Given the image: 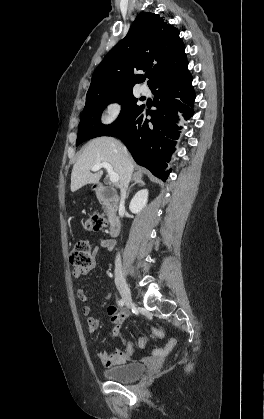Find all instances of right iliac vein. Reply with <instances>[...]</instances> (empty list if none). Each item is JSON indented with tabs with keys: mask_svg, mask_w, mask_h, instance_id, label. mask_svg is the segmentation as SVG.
I'll list each match as a JSON object with an SVG mask.
<instances>
[{
	"mask_svg": "<svg viewBox=\"0 0 264 419\" xmlns=\"http://www.w3.org/2000/svg\"><path fill=\"white\" fill-rule=\"evenodd\" d=\"M116 285L126 305L128 307H132L134 305V302L132 300L130 289L127 283L123 279L118 278L116 280Z\"/></svg>",
	"mask_w": 264,
	"mask_h": 419,
	"instance_id": "1",
	"label": "right iliac vein"
}]
</instances>
